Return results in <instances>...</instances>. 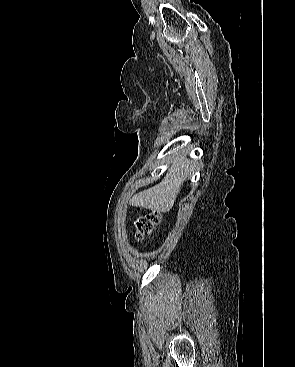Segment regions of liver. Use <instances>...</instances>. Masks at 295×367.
Returning a JSON list of instances; mask_svg holds the SVG:
<instances>
[{"mask_svg":"<svg viewBox=\"0 0 295 367\" xmlns=\"http://www.w3.org/2000/svg\"><path fill=\"white\" fill-rule=\"evenodd\" d=\"M195 166L194 162L187 159L185 154H181L172 161L164 179L154 187L134 195L131 204L158 213L169 212L180 192L181 185Z\"/></svg>","mask_w":295,"mask_h":367,"instance_id":"6515ba94","label":"liver"}]
</instances>
